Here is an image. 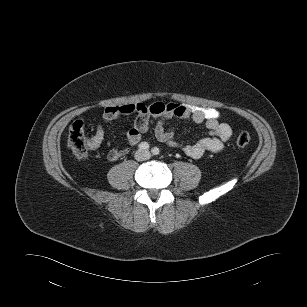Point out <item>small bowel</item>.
<instances>
[{
  "instance_id": "small-bowel-1",
  "label": "small bowel",
  "mask_w": 307,
  "mask_h": 307,
  "mask_svg": "<svg viewBox=\"0 0 307 307\" xmlns=\"http://www.w3.org/2000/svg\"><path fill=\"white\" fill-rule=\"evenodd\" d=\"M129 114H136L135 123L127 132V141L130 146L137 145L143 134L153 130L158 141L182 150L193 159L201 158L206 152L222 151L232 135L231 127L219 121V112L216 109L185 104L156 102L150 105L130 103L112 106L105 110L103 118L105 121L111 122ZM171 118L190 119L198 124L203 123L208 131V136L193 144L178 142L174 138L173 129L165 126L166 121ZM104 136L103 126L97 125L95 134L91 138V148H98L103 142ZM128 151V147L111 149L108 152V159L110 161L118 160Z\"/></svg>"
}]
</instances>
